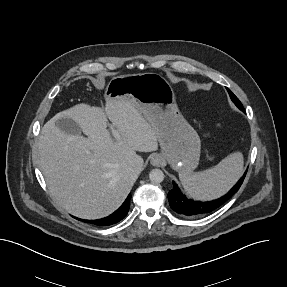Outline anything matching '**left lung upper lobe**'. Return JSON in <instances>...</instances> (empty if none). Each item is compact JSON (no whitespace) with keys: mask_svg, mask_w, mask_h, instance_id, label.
Here are the masks:
<instances>
[{"mask_svg":"<svg viewBox=\"0 0 287 287\" xmlns=\"http://www.w3.org/2000/svg\"><path fill=\"white\" fill-rule=\"evenodd\" d=\"M227 91H228V93H229V95H230L231 100L235 103V105H236L240 110L243 111L244 108H243L241 102L239 101V99H238V98L231 92V90H229L228 88H227Z\"/></svg>","mask_w":287,"mask_h":287,"instance_id":"left-lung-upper-lobe-1","label":"left lung upper lobe"}]
</instances>
